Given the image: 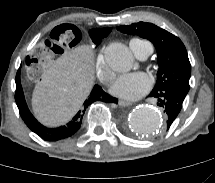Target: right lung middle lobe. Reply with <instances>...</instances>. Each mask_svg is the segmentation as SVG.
Listing matches in <instances>:
<instances>
[{
    "instance_id": "1",
    "label": "right lung middle lobe",
    "mask_w": 215,
    "mask_h": 183,
    "mask_svg": "<svg viewBox=\"0 0 215 183\" xmlns=\"http://www.w3.org/2000/svg\"><path fill=\"white\" fill-rule=\"evenodd\" d=\"M60 27L64 28V30H65L67 28H70L71 26L70 25H62ZM89 34H90L92 41L96 45H99L101 43V39L106 37L109 33L106 31H103L102 29H92L89 31ZM75 35H76V39L74 40V43H78L81 40L82 35H81V33H79V34L75 33Z\"/></svg>"
}]
</instances>
